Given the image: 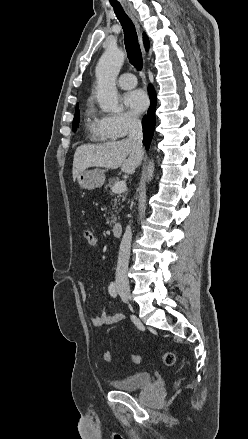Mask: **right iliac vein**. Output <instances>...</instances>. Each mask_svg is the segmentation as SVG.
<instances>
[{"mask_svg":"<svg viewBox=\"0 0 248 439\" xmlns=\"http://www.w3.org/2000/svg\"><path fill=\"white\" fill-rule=\"evenodd\" d=\"M121 295L128 301H131V295L128 289L122 288L121 289Z\"/></svg>","mask_w":248,"mask_h":439,"instance_id":"63e3f726","label":"right iliac vein"}]
</instances>
